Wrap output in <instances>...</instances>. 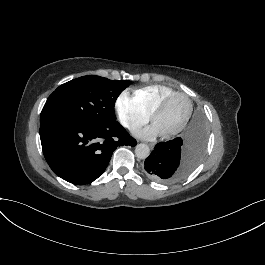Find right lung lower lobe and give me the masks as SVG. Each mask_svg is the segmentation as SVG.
Returning a JSON list of instances; mask_svg holds the SVG:
<instances>
[{
    "label": "right lung lower lobe",
    "mask_w": 265,
    "mask_h": 265,
    "mask_svg": "<svg viewBox=\"0 0 265 265\" xmlns=\"http://www.w3.org/2000/svg\"><path fill=\"white\" fill-rule=\"evenodd\" d=\"M45 159L53 172L73 184H89L100 177L114 150L137 142L118 123L98 124L62 118L40 127Z\"/></svg>",
    "instance_id": "obj_1"
}]
</instances>
